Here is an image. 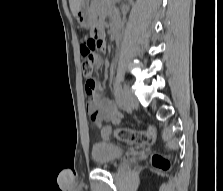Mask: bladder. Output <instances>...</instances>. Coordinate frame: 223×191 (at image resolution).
<instances>
[{"mask_svg": "<svg viewBox=\"0 0 223 191\" xmlns=\"http://www.w3.org/2000/svg\"><path fill=\"white\" fill-rule=\"evenodd\" d=\"M124 149L117 143L106 141L96 142L91 147V157L98 166H109L119 160Z\"/></svg>", "mask_w": 223, "mask_h": 191, "instance_id": "bladder-1", "label": "bladder"}]
</instances>
